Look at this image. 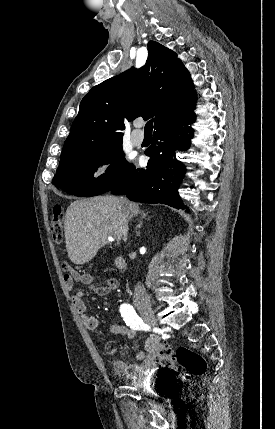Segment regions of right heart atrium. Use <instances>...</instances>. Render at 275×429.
I'll return each mask as SVG.
<instances>
[{
	"label": "right heart atrium",
	"instance_id": "right-heart-atrium-1",
	"mask_svg": "<svg viewBox=\"0 0 275 429\" xmlns=\"http://www.w3.org/2000/svg\"><path fill=\"white\" fill-rule=\"evenodd\" d=\"M112 166V162L109 158H103L97 162L94 168V177L100 178L105 176Z\"/></svg>",
	"mask_w": 275,
	"mask_h": 429
}]
</instances>
